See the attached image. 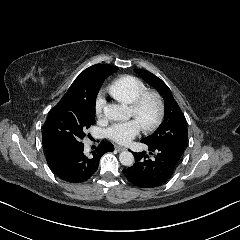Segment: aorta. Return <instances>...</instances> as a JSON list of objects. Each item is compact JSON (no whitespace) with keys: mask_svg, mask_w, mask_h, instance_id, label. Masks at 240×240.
<instances>
[{"mask_svg":"<svg viewBox=\"0 0 240 240\" xmlns=\"http://www.w3.org/2000/svg\"><path fill=\"white\" fill-rule=\"evenodd\" d=\"M126 114V109L118 104H107L103 107V115L110 121H119ZM119 161L122 165L131 166L134 163V156L130 151L124 150L119 154Z\"/></svg>","mask_w":240,"mask_h":240,"instance_id":"762f6f07","label":"aorta"}]
</instances>
